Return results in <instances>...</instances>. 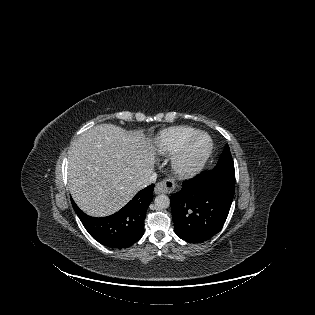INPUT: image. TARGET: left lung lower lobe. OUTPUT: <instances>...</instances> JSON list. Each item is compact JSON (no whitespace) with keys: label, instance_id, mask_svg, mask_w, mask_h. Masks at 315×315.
<instances>
[{"label":"left lung lower lobe","instance_id":"1","mask_svg":"<svg viewBox=\"0 0 315 315\" xmlns=\"http://www.w3.org/2000/svg\"><path fill=\"white\" fill-rule=\"evenodd\" d=\"M235 192V170L205 171L183 182L170 198L175 233L190 243L217 234L228 216Z\"/></svg>","mask_w":315,"mask_h":315}]
</instances>
